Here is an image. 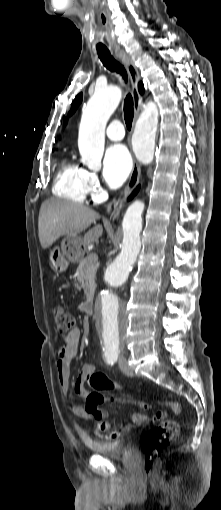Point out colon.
<instances>
[{"label":"colon","mask_w":221,"mask_h":510,"mask_svg":"<svg viewBox=\"0 0 221 510\" xmlns=\"http://www.w3.org/2000/svg\"><path fill=\"white\" fill-rule=\"evenodd\" d=\"M54 322L62 339L66 340L70 333L74 330V318L72 314L63 308L57 307L53 313ZM88 385L93 390L86 396V408L92 416V420L98 422L100 429L102 424L106 423L103 420L107 416V412L98 406L104 401V397L100 392L114 391L119 388L118 384L110 380L102 372H94L88 378ZM113 401H123L122 399L112 398ZM128 403L135 404L133 400H127ZM160 404L172 410V412L179 416L182 408L181 404L176 400L158 401ZM141 407L145 408L146 403L139 402ZM153 421H162V423L151 429L144 440V472L151 474L156 460L161 454L168 449V447L177 438L180 430L179 419H165L163 412H158L153 416Z\"/></svg>","instance_id":"5ec220e1"}]
</instances>
